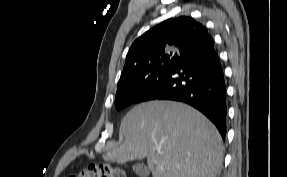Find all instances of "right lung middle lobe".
<instances>
[{
    "label": "right lung middle lobe",
    "instance_id": "dd1d6c3e",
    "mask_svg": "<svg viewBox=\"0 0 287 177\" xmlns=\"http://www.w3.org/2000/svg\"><path fill=\"white\" fill-rule=\"evenodd\" d=\"M178 59L179 57L161 59L143 71L134 82L117 86L115 98L116 109L121 110L134 103L148 87L173 69Z\"/></svg>",
    "mask_w": 287,
    "mask_h": 177
}]
</instances>
